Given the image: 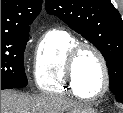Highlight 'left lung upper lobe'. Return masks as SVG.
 I'll return each instance as SVG.
<instances>
[{"label":"left lung upper lobe","mask_w":123,"mask_h":113,"mask_svg":"<svg viewBox=\"0 0 123 113\" xmlns=\"http://www.w3.org/2000/svg\"><path fill=\"white\" fill-rule=\"evenodd\" d=\"M46 10L101 51L110 89L123 103V21L110 0H46Z\"/></svg>","instance_id":"obj_1"}]
</instances>
